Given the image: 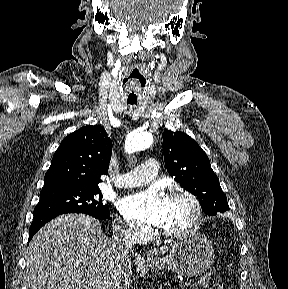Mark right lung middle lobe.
I'll return each instance as SVG.
<instances>
[{
    "instance_id": "right-lung-middle-lobe-1",
    "label": "right lung middle lobe",
    "mask_w": 288,
    "mask_h": 289,
    "mask_svg": "<svg viewBox=\"0 0 288 289\" xmlns=\"http://www.w3.org/2000/svg\"><path fill=\"white\" fill-rule=\"evenodd\" d=\"M98 187H51L43 188L33 215L85 213L99 219L110 216L107 205L102 203Z\"/></svg>"
}]
</instances>
